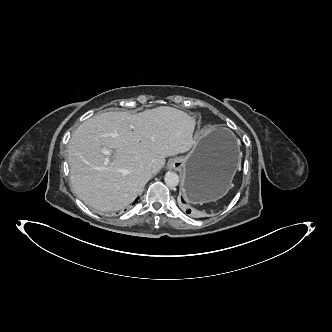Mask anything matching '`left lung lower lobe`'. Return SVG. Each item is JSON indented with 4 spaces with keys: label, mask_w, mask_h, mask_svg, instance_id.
I'll return each mask as SVG.
<instances>
[{
    "label": "left lung lower lobe",
    "mask_w": 332,
    "mask_h": 332,
    "mask_svg": "<svg viewBox=\"0 0 332 332\" xmlns=\"http://www.w3.org/2000/svg\"><path fill=\"white\" fill-rule=\"evenodd\" d=\"M181 201H182L183 203H185V201L183 200L182 197H181ZM186 212H187V213H191V210L187 208V209H186Z\"/></svg>",
    "instance_id": "0a47b994"
}]
</instances>
